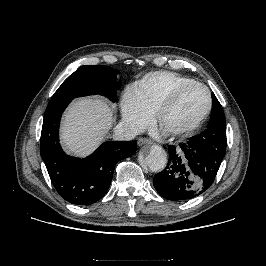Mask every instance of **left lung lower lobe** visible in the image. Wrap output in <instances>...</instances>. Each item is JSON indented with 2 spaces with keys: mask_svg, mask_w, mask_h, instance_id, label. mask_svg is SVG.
Wrapping results in <instances>:
<instances>
[{
  "mask_svg": "<svg viewBox=\"0 0 266 266\" xmlns=\"http://www.w3.org/2000/svg\"><path fill=\"white\" fill-rule=\"evenodd\" d=\"M168 153L167 166L154 176L153 184L162 197L172 201H187L204 193L225 156L211 154L190 141L169 145Z\"/></svg>",
  "mask_w": 266,
  "mask_h": 266,
  "instance_id": "obj_1",
  "label": "left lung lower lobe"
}]
</instances>
